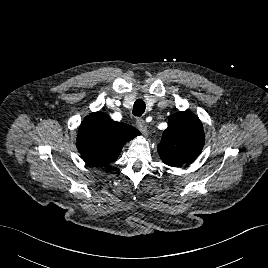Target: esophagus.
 I'll return each instance as SVG.
<instances>
[{"label": "esophagus", "mask_w": 268, "mask_h": 268, "mask_svg": "<svg viewBox=\"0 0 268 268\" xmlns=\"http://www.w3.org/2000/svg\"><path fill=\"white\" fill-rule=\"evenodd\" d=\"M137 128L140 130V132L144 135H148L147 125L146 122L142 118H137L136 120Z\"/></svg>", "instance_id": "1"}]
</instances>
